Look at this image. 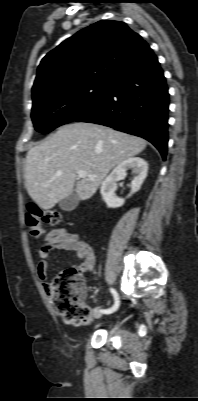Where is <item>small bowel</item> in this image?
<instances>
[{
  "mask_svg": "<svg viewBox=\"0 0 198 401\" xmlns=\"http://www.w3.org/2000/svg\"><path fill=\"white\" fill-rule=\"evenodd\" d=\"M52 251L74 254L81 260V269L84 272H89L95 264V252L89 242L64 228L51 230L38 249L40 260L37 264V274L47 291H49L48 271L50 267L48 257Z\"/></svg>",
  "mask_w": 198,
  "mask_h": 401,
  "instance_id": "obj_1",
  "label": "small bowel"
}]
</instances>
